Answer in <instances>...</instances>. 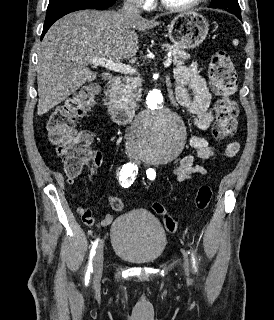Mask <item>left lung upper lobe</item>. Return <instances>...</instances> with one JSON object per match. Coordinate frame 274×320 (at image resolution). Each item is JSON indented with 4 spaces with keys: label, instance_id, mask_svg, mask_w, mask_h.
Returning <instances> with one entry per match:
<instances>
[{
    "label": "left lung upper lobe",
    "instance_id": "5c2ea615",
    "mask_svg": "<svg viewBox=\"0 0 274 320\" xmlns=\"http://www.w3.org/2000/svg\"><path fill=\"white\" fill-rule=\"evenodd\" d=\"M209 7L225 9L230 13H241L237 0H213Z\"/></svg>",
    "mask_w": 274,
    "mask_h": 320
}]
</instances>
